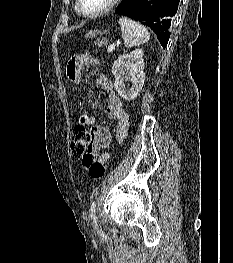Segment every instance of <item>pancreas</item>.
Instances as JSON below:
<instances>
[{
    "mask_svg": "<svg viewBox=\"0 0 233 263\" xmlns=\"http://www.w3.org/2000/svg\"><path fill=\"white\" fill-rule=\"evenodd\" d=\"M108 42L106 39H102L101 41H98L96 42V45L99 47V48H103L104 46H107Z\"/></svg>",
    "mask_w": 233,
    "mask_h": 263,
    "instance_id": "pancreas-1",
    "label": "pancreas"
}]
</instances>
